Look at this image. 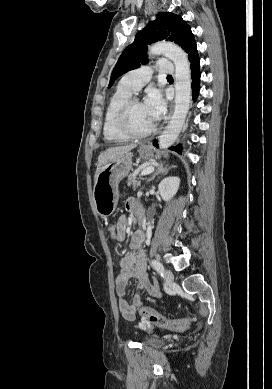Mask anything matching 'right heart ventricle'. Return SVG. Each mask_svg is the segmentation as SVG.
Instances as JSON below:
<instances>
[{
  "label": "right heart ventricle",
  "instance_id": "right-heart-ventricle-1",
  "mask_svg": "<svg viewBox=\"0 0 272 389\" xmlns=\"http://www.w3.org/2000/svg\"><path fill=\"white\" fill-rule=\"evenodd\" d=\"M133 94L129 89L119 84L116 91L110 97L103 123V134L106 140L110 142H122L129 139L118 129L117 116L123 104Z\"/></svg>",
  "mask_w": 272,
  "mask_h": 389
}]
</instances>
